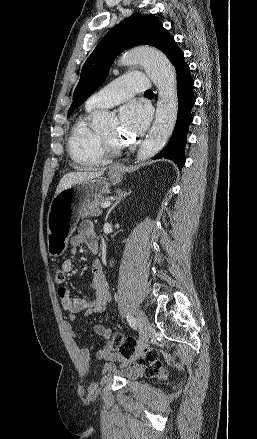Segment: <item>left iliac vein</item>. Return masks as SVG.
Instances as JSON below:
<instances>
[{
    "instance_id": "left-iliac-vein-1",
    "label": "left iliac vein",
    "mask_w": 257,
    "mask_h": 439,
    "mask_svg": "<svg viewBox=\"0 0 257 439\" xmlns=\"http://www.w3.org/2000/svg\"><path fill=\"white\" fill-rule=\"evenodd\" d=\"M137 324L140 332V342L142 345H145L150 338L151 328L148 318L142 310H138L137 312Z\"/></svg>"
}]
</instances>
